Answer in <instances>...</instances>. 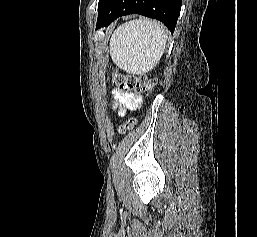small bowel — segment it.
Listing matches in <instances>:
<instances>
[{
	"instance_id": "small-bowel-1",
	"label": "small bowel",
	"mask_w": 257,
	"mask_h": 237,
	"mask_svg": "<svg viewBox=\"0 0 257 237\" xmlns=\"http://www.w3.org/2000/svg\"><path fill=\"white\" fill-rule=\"evenodd\" d=\"M114 96V106H121L123 110L120 112L121 115L124 114L125 109H135L141 104V97L137 94L126 93L119 89L113 91Z\"/></svg>"
}]
</instances>
